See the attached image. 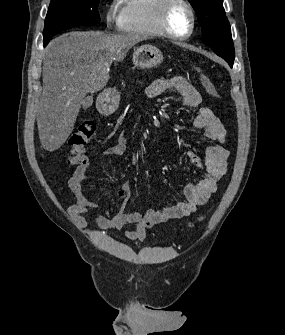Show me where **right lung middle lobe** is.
Here are the masks:
<instances>
[{
    "label": "right lung middle lobe",
    "mask_w": 285,
    "mask_h": 335,
    "mask_svg": "<svg viewBox=\"0 0 285 335\" xmlns=\"http://www.w3.org/2000/svg\"><path fill=\"white\" fill-rule=\"evenodd\" d=\"M98 4L99 0H51L45 19L44 43L68 28L99 23Z\"/></svg>",
    "instance_id": "dd1d6c3e"
}]
</instances>
